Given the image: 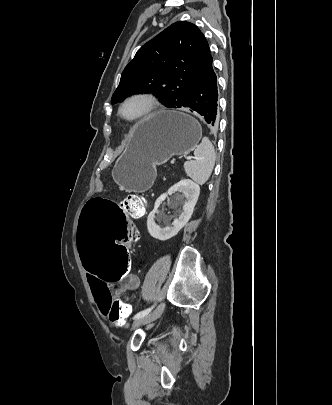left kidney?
<instances>
[{
  "label": "left kidney",
  "mask_w": 332,
  "mask_h": 405,
  "mask_svg": "<svg viewBox=\"0 0 332 405\" xmlns=\"http://www.w3.org/2000/svg\"><path fill=\"white\" fill-rule=\"evenodd\" d=\"M180 191L185 196L187 201L182 207V212L178 219H174L172 225H167L161 228L156 224V220H161L162 214L159 212L158 208L160 204L165 201L168 195H172L174 192ZM200 194V187L194 182L184 179L173 185L167 193L162 194L156 200L154 209L150 212L147 218V228L149 234L158 240L165 241L174 237L190 220L194 207L197 203Z\"/></svg>",
  "instance_id": "1"
}]
</instances>
